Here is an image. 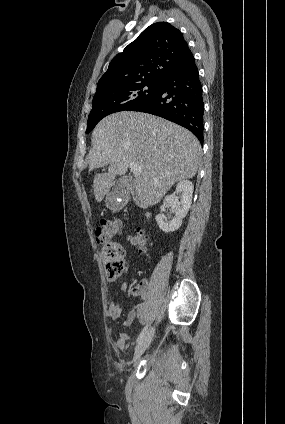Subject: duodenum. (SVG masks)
<instances>
[{
    "instance_id": "410a0bca",
    "label": "duodenum",
    "mask_w": 285,
    "mask_h": 424,
    "mask_svg": "<svg viewBox=\"0 0 285 424\" xmlns=\"http://www.w3.org/2000/svg\"><path fill=\"white\" fill-rule=\"evenodd\" d=\"M123 186H124V189H126L127 191H131L133 189V186H134V180H132L130 178H125L123 180ZM146 217L149 218L150 215L147 214Z\"/></svg>"
}]
</instances>
